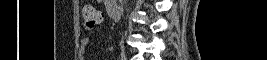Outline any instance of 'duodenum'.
<instances>
[{
  "label": "duodenum",
  "instance_id": "duodenum-1",
  "mask_svg": "<svg viewBox=\"0 0 267 60\" xmlns=\"http://www.w3.org/2000/svg\"><path fill=\"white\" fill-rule=\"evenodd\" d=\"M118 0H110L107 1V9L109 12V16L111 18H118L119 17V13H120V6L118 5Z\"/></svg>",
  "mask_w": 267,
  "mask_h": 60
}]
</instances>
